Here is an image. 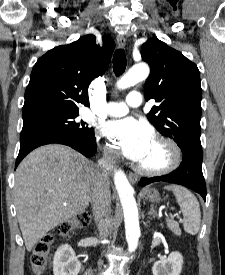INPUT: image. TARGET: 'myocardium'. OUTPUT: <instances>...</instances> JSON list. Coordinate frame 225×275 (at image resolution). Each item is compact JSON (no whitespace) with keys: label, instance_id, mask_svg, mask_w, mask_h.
<instances>
[{"label":"myocardium","instance_id":"myocardium-1","mask_svg":"<svg viewBox=\"0 0 225 275\" xmlns=\"http://www.w3.org/2000/svg\"><path fill=\"white\" fill-rule=\"evenodd\" d=\"M154 140L164 145L168 152V160L164 166L154 169L137 164V172L144 176L156 177L169 174L178 168L182 160L181 149L174 140L163 135H156Z\"/></svg>","mask_w":225,"mask_h":275}]
</instances>
